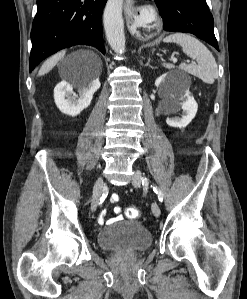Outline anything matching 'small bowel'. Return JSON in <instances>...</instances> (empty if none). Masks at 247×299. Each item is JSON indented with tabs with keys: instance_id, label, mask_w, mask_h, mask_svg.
Masks as SVG:
<instances>
[{
	"instance_id": "c3829d8e",
	"label": "small bowel",
	"mask_w": 247,
	"mask_h": 299,
	"mask_svg": "<svg viewBox=\"0 0 247 299\" xmlns=\"http://www.w3.org/2000/svg\"><path fill=\"white\" fill-rule=\"evenodd\" d=\"M119 199H120L119 195L116 194V193H114V194H112L111 197H110V202H111V203H116V202L119 201ZM113 211H114V213L116 214V216L113 217V218H111V219H106L107 211L104 209V210L100 213V215H99V217H98V222H99V224L113 223V222H115V221H118V220H122V219H123V216L120 214V212H121V208H120L119 206H116V207L114 208Z\"/></svg>"
}]
</instances>
